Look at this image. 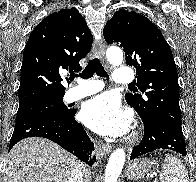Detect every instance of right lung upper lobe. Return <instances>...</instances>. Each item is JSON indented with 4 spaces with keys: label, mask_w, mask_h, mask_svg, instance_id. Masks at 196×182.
Wrapping results in <instances>:
<instances>
[{
    "label": "right lung upper lobe",
    "mask_w": 196,
    "mask_h": 182,
    "mask_svg": "<svg viewBox=\"0 0 196 182\" xmlns=\"http://www.w3.org/2000/svg\"><path fill=\"white\" fill-rule=\"evenodd\" d=\"M91 31L75 8L47 16L31 32L23 53L19 105L64 96L61 70H80L90 51Z\"/></svg>",
    "instance_id": "cb5924a9"
}]
</instances>
